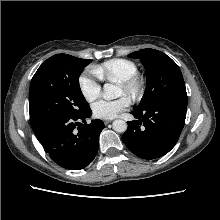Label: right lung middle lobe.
I'll return each mask as SVG.
<instances>
[{
  "mask_svg": "<svg viewBox=\"0 0 220 220\" xmlns=\"http://www.w3.org/2000/svg\"><path fill=\"white\" fill-rule=\"evenodd\" d=\"M91 62L68 54H56L38 68L29 91L33 130L57 117L78 115L90 108L81 92L79 76Z\"/></svg>",
  "mask_w": 220,
  "mask_h": 220,
  "instance_id": "dd1d6c3e",
  "label": "right lung middle lobe"
}]
</instances>
